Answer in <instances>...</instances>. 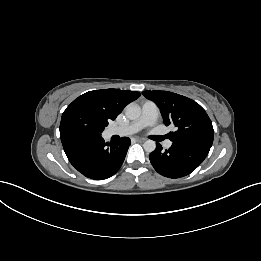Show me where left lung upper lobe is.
Instances as JSON below:
<instances>
[{
    "mask_svg": "<svg viewBox=\"0 0 261 261\" xmlns=\"http://www.w3.org/2000/svg\"><path fill=\"white\" fill-rule=\"evenodd\" d=\"M143 95L160 108L164 124L174 125L173 143H191L211 147L214 130L205 110L194 100L169 91H144Z\"/></svg>",
    "mask_w": 261,
    "mask_h": 261,
    "instance_id": "5c2ea615",
    "label": "left lung upper lobe"
}]
</instances>
